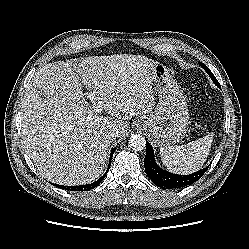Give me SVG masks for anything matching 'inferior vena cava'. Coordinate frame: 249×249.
I'll return each mask as SVG.
<instances>
[{"instance_id":"602c4592","label":"inferior vena cava","mask_w":249,"mask_h":249,"mask_svg":"<svg viewBox=\"0 0 249 249\" xmlns=\"http://www.w3.org/2000/svg\"><path fill=\"white\" fill-rule=\"evenodd\" d=\"M118 135V131L116 129H113L111 130L109 133H108V137L112 138V139H115Z\"/></svg>"}]
</instances>
